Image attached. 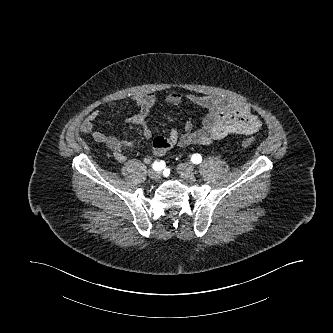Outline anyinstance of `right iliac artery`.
<instances>
[{
    "mask_svg": "<svg viewBox=\"0 0 333 333\" xmlns=\"http://www.w3.org/2000/svg\"><path fill=\"white\" fill-rule=\"evenodd\" d=\"M162 164H163V162L155 161L153 163L152 167L154 170H161V168L163 167Z\"/></svg>",
    "mask_w": 333,
    "mask_h": 333,
    "instance_id": "right-iliac-artery-1",
    "label": "right iliac artery"
}]
</instances>
